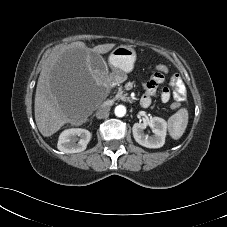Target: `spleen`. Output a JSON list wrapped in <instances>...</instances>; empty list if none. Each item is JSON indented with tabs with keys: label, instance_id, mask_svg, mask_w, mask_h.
Wrapping results in <instances>:
<instances>
[{
	"label": "spleen",
	"instance_id": "3e777b00",
	"mask_svg": "<svg viewBox=\"0 0 227 227\" xmlns=\"http://www.w3.org/2000/svg\"><path fill=\"white\" fill-rule=\"evenodd\" d=\"M188 124V111L184 108L177 111L168 120V130L173 139H179Z\"/></svg>",
	"mask_w": 227,
	"mask_h": 227
}]
</instances>
